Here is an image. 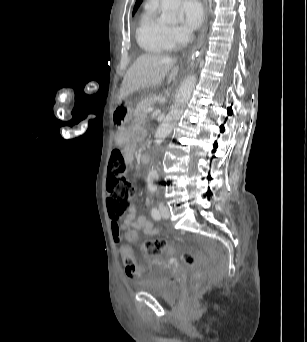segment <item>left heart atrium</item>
<instances>
[{"mask_svg":"<svg viewBox=\"0 0 307 342\" xmlns=\"http://www.w3.org/2000/svg\"><path fill=\"white\" fill-rule=\"evenodd\" d=\"M204 20V10L202 5L197 1H188L181 8V35L182 41L187 43L191 40L192 35L201 26Z\"/></svg>","mask_w":307,"mask_h":342,"instance_id":"obj_1","label":"left heart atrium"}]
</instances>
